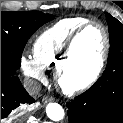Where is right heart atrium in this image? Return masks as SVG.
Masks as SVG:
<instances>
[{
  "mask_svg": "<svg viewBox=\"0 0 123 123\" xmlns=\"http://www.w3.org/2000/svg\"><path fill=\"white\" fill-rule=\"evenodd\" d=\"M22 72L34 80L43 81L45 79L44 69L30 55H22L19 60Z\"/></svg>",
  "mask_w": 123,
  "mask_h": 123,
  "instance_id": "d8ad5b80",
  "label": "right heart atrium"
}]
</instances>
